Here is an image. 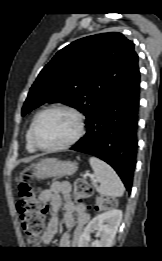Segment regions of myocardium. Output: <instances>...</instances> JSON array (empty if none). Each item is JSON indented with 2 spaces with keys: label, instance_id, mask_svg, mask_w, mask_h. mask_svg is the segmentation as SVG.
<instances>
[{
  "label": "myocardium",
  "instance_id": "myocardium-1",
  "mask_svg": "<svg viewBox=\"0 0 162 261\" xmlns=\"http://www.w3.org/2000/svg\"><path fill=\"white\" fill-rule=\"evenodd\" d=\"M57 110L68 112L74 116V118L76 120V125H77L76 132L70 139H68L66 142H64L62 144H59L56 146H50V147L42 146L41 144L38 143L37 138H36V129H37L39 120L44 114L51 112V111H57ZM84 131H85V120H84V116L82 115V113L80 111H78L76 108L71 107L69 105L55 104V105H51V106L41 110L35 116V119L32 123V127H31V142H32L33 146L40 151L56 152V151L67 149V148L73 146L75 143H77L83 136Z\"/></svg>",
  "mask_w": 162,
  "mask_h": 261
}]
</instances>
